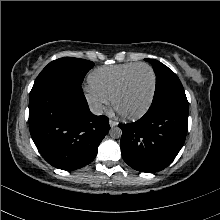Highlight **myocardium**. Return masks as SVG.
Returning a JSON list of instances; mask_svg holds the SVG:
<instances>
[{
    "label": "myocardium",
    "instance_id": "1",
    "mask_svg": "<svg viewBox=\"0 0 220 220\" xmlns=\"http://www.w3.org/2000/svg\"><path fill=\"white\" fill-rule=\"evenodd\" d=\"M140 67H145V68L149 69V71L151 72V75H152V90H151L150 97H149L148 102L146 103V105L140 111H138L136 113H132V114L122 113L117 108V105H116L117 100H118L119 96L122 94V92L124 91V89L126 87V84L129 80L130 76L132 75V73ZM156 88H157V76H156V73H155V70L153 69V67L151 65L147 64V63H138L124 75V77L120 81L119 85L115 89V91L112 95V98H111L113 109L117 112V114L121 118H123L125 120L140 119L150 109V107H151V105L154 101V97H155V94H156Z\"/></svg>",
    "mask_w": 220,
    "mask_h": 220
}]
</instances>
